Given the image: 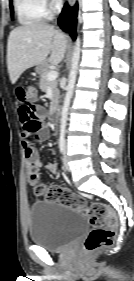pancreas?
Returning a JSON list of instances; mask_svg holds the SVG:
<instances>
[{
	"label": "pancreas",
	"instance_id": "1",
	"mask_svg": "<svg viewBox=\"0 0 134 281\" xmlns=\"http://www.w3.org/2000/svg\"><path fill=\"white\" fill-rule=\"evenodd\" d=\"M50 72L49 69L45 68L40 74V89L44 92L47 91L48 88H51L53 96L50 103V112H53L57 109L59 104V89L57 87V81L52 80L49 81L47 78L48 73Z\"/></svg>",
	"mask_w": 134,
	"mask_h": 281
}]
</instances>
